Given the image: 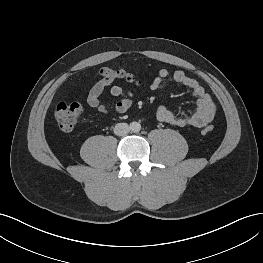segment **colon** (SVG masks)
Returning <instances> with one entry per match:
<instances>
[{
  "label": "colon",
  "mask_w": 263,
  "mask_h": 263,
  "mask_svg": "<svg viewBox=\"0 0 263 263\" xmlns=\"http://www.w3.org/2000/svg\"><path fill=\"white\" fill-rule=\"evenodd\" d=\"M98 75L108 83L122 81L129 84H136V78L121 69H113L104 67L99 70ZM84 111L83 105L79 102H61L56 106L55 119L57 126L61 131H70L74 128L77 120ZM213 131L212 127H206L203 134H210Z\"/></svg>",
  "instance_id": "5ec220e1"
}]
</instances>
